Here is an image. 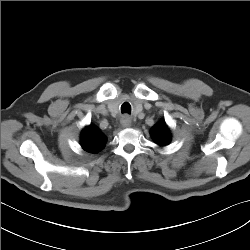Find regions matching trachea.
<instances>
[{
    "instance_id": "obj_1",
    "label": "trachea",
    "mask_w": 250,
    "mask_h": 250,
    "mask_svg": "<svg viewBox=\"0 0 250 250\" xmlns=\"http://www.w3.org/2000/svg\"><path fill=\"white\" fill-rule=\"evenodd\" d=\"M121 112L122 113H130L131 112V106L129 103L125 102L121 106Z\"/></svg>"
}]
</instances>
